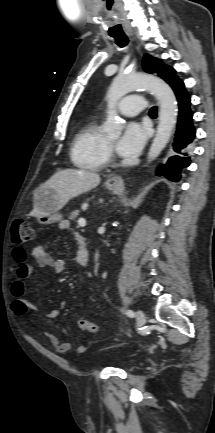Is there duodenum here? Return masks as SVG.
Instances as JSON below:
<instances>
[{"instance_id": "410a0bca", "label": "duodenum", "mask_w": 215, "mask_h": 433, "mask_svg": "<svg viewBox=\"0 0 215 433\" xmlns=\"http://www.w3.org/2000/svg\"><path fill=\"white\" fill-rule=\"evenodd\" d=\"M89 251L85 248L84 243L80 245L78 262L80 265L87 267L89 265Z\"/></svg>"}]
</instances>
